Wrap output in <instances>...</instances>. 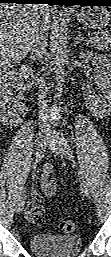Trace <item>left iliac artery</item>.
Listing matches in <instances>:
<instances>
[{
	"label": "left iliac artery",
	"instance_id": "44dca946",
	"mask_svg": "<svg viewBox=\"0 0 111 257\" xmlns=\"http://www.w3.org/2000/svg\"><path fill=\"white\" fill-rule=\"evenodd\" d=\"M66 144H67V146H69V144H68V141L66 140Z\"/></svg>",
	"mask_w": 111,
	"mask_h": 257
}]
</instances>
